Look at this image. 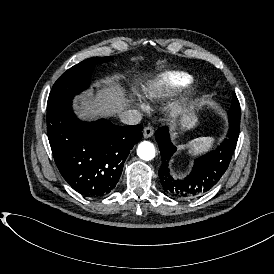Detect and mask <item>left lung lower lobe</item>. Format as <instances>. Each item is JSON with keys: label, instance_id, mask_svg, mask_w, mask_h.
Segmentation results:
<instances>
[{"label": "left lung lower lobe", "instance_id": "0a47b994", "mask_svg": "<svg viewBox=\"0 0 274 274\" xmlns=\"http://www.w3.org/2000/svg\"><path fill=\"white\" fill-rule=\"evenodd\" d=\"M227 138L216 149L198 158L192 172L184 180H174L169 173L168 162L176 147L171 143L167 127L155 132L162 156L158 171L164 191L178 198H193L209 191L223 176L231 161L239 137L240 122L229 121Z\"/></svg>", "mask_w": 274, "mask_h": 274}]
</instances>
